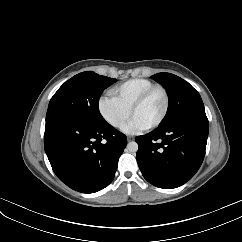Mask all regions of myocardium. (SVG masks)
<instances>
[{
  "mask_svg": "<svg viewBox=\"0 0 242 242\" xmlns=\"http://www.w3.org/2000/svg\"><path fill=\"white\" fill-rule=\"evenodd\" d=\"M160 91L162 92L164 96V108L162 111L161 116L158 118L156 122H154L152 125L148 126L147 129H155L159 127L167 117L169 108H170V95L168 90L162 86V85H153L147 90H145L132 104L131 109H130V114L133 116L134 112L136 111L137 108H139L148 98L149 96L155 92V91Z\"/></svg>",
  "mask_w": 242,
  "mask_h": 242,
  "instance_id": "myocardium-1",
  "label": "myocardium"
}]
</instances>
